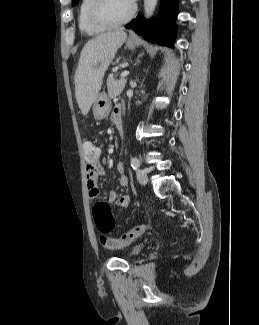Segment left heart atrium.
I'll return each mask as SVG.
<instances>
[{
  "label": "left heart atrium",
  "mask_w": 259,
  "mask_h": 325,
  "mask_svg": "<svg viewBox=\"0 0 259 325\" xmlns=\"http://www.w3.org/2000/svg\"><path fill=\"white\" fill-rule=\"evenodd\" d=\"M129 3L133 4L135 0H127Z\"/></svg>",
  "instance_id": "39dd6f15"
}]
</instances>
